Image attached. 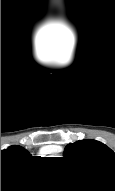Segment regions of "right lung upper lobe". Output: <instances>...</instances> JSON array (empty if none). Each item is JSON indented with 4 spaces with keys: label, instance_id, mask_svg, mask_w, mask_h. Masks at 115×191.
<instances>
[{
    "label": "right lung upper lobe",
    "instance_id": "obj_1",
    "mask_svg": "<svg viewBox=\"0 0 115 191\" xmlns=\"http://www.w3.org/2000/svg\"><path fill=\"white\" fill-rule=\"evenodd\" d=\"M30 153L23 147L13 145L1 151V163L8 161H22L28 158Z\"/></svg>",
    "mask_w": 115,
    "mask_h": 191
}]
</instances>
